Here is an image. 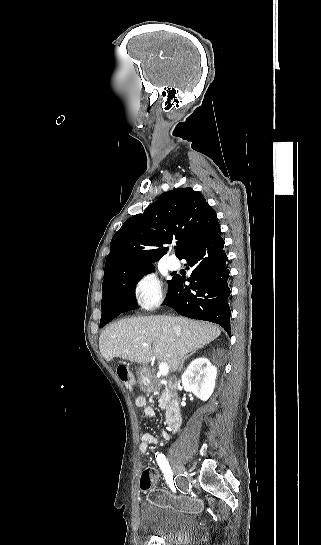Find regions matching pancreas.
Masks as SVG:
<instances>
[{
  "mask_svg": "<svg viewBox=\"0 0 321 545\" xmlns=\"http://www.w3.org/2000/svg\"><path fill=\"white\" fill-rule=\"evenodd\" d=\"M145 375H154L153 371H151V369H147ZM169 399V393L166 389L165 393H162V395H160V399H159V407H161V409H164V407H166L165 403L166 401H168Z\"/></svg>",
  "mask_w": 321,
  "mask_h": 545,
  "instance_id": "obj_1",
  "label": "pancreas"
}]
</instances>
